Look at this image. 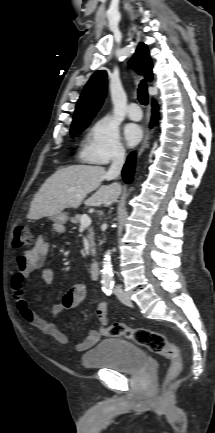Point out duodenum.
Here are the masks:
<instances>
[{
	"label": "duodenum",
	"instance_id": "duodenum-1",
	"mask_svg": "<svg viewBox=\"0 0 215 433\" xmlns=\"http://www.w3.org/2000/svg\"><path fill=\"white\" fill-rule=\"evenodd\" d=\"M90 273L94 280H98L100 278V267L96 262H92L90 264Z\"/></svg>",
	"mask_w": 215,
	"mask_h": 433
}]
</instances>
